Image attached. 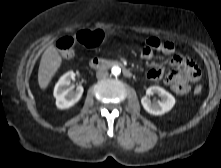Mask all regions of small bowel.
<instances>
[{"mask_svg": "<svg viewBox=\"0 0 221 168\" xmlns=\"http://www.w3.org/2000/svg\"><path fill=\"white\" fill-rule=\"evenodd\" d=\"M165 47L160 50L166 55H173L175 53L174 45L171 42H163ZM154 49L145 45L142 49L141 56L145 60L152 59ZM174 70L165 74L164 70L159 67H153L147 72V77L150 80H163L173 92L178 95H184L190 91L189 81H195L199 76V70L196 65L188 58L175 55L172 59Z\"/></svg>", "mask_w": 221, "mask_h": 168, "instance_id": "small-bowel-1", "label": "small bowel"}]
</instances>
